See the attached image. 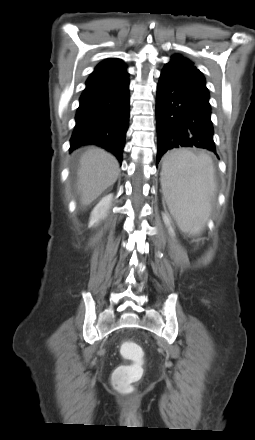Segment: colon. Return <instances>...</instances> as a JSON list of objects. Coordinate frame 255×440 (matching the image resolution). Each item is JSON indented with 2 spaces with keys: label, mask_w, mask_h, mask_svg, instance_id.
I'll use <instances>...</instances> for the list:
<instances>
[{
  "label": "colon",
  "mask_w": 255,
  "mask_h": 440,
  "mask_svg": "<svg viewBox=\"0 0 255 440\" xmlns=\"http://www.w3.org/2000/svg\"><path fill=\"white\" fill-rule=\"evenodd\" d=\"M120 351L132 363L117 367L113 375V384L120 391L130 392L133 384L141 377L142 368L140 361L143 354L141 348L131 341L122 343Z\"/></svg>",
  "instance_id": "obj_1"
}]
</instances>
